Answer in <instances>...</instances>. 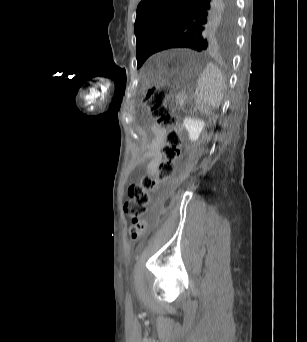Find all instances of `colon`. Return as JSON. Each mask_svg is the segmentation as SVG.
<instances>
[{"label":"colon","instance_id":"obj_1","mask_svg":"<svg viewBox=\"0 0 307 342\" xmlns=\"http://www.w3.org/2000/svg\"><path fill=\"white\" fill-rule=\"evenodd\" d=\"M167 87L151 86L146 92V104L150 116L161 127L167 129L166 144L161 160L155 167L154 174H144L136 183L130 184L124 211L131 218L130 237L138 239L146 229L143 216L148 210L150 192L158 188L159 183L175 176V161L181 153L182 136L180 126L167 105Z\"/></svg>","mask_w":307,"mask_h":342}]
</instances>
